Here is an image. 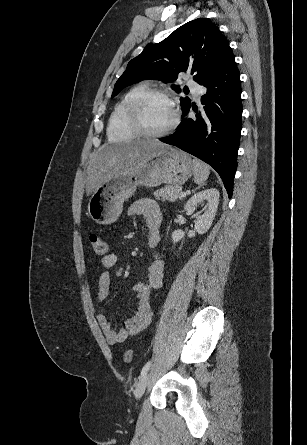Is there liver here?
<instances>
[{"mask_svg": "<svg viewBox=\"0 0 307 445\" xmlns=\"http://www.w3.org/2000/svg\"><path fill=\"white\" fill-rule=\"evenodd\" d=\"M170 148L159 140H132L125 144H110L101 146L93 162L87 168L86 194L90 196L102 182H107L112 174L128 172L140 162L155 156L156 152Z\"/></svg>", "mask_w": 307, "mask_h": 445, "instance_id": "liver-1", "label": "liver"}]
</instances>
